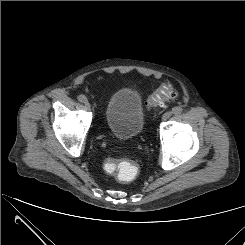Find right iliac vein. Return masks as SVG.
<instances>
[{"label":"right iliac vein","instance_id":"obj_1","mask_svg":"<svg viewBox=\"0 0 245 245\" xmlns=\"http://www.w3.org/2000/svg\"><path fill=\"white\" fill-rule=\"evenodd\" d=\"M84 104H85V106H86L87 108H89V107H90V104L88 103V101H87V100H85V101H84Z\"/></svg>","mask_w":245,"mask_h":245}]
</instances>
